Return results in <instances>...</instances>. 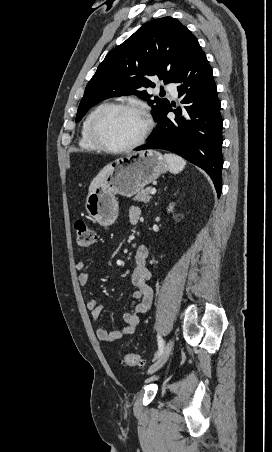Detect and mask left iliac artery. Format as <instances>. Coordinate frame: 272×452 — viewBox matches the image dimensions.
<instances>
[{"mask_svg":"<svg viewBox=\"0 0 272 452\" xmlns=\"http://www.w3.org/2000/svg\"><path fill=\"white\" fill-rule=\"evenodd\" d=\"M157 340H158V348H159V350H158L156 358L158 356H160V354L162 353V351L164 349V341H163V339H162V337L160 335H158Z\"/></svg>","mask_w":272,"mask_h":452,"instance_id":"44dca946","label":"left iliac artery"}]
</instances>
